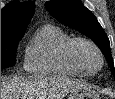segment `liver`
<instances>
[{"label": "liver", "mask_w": 115, "mask_h": 99, "mask_svg": "<svg viewBox=\"0 0 115 99\" xmlns=\"http://www.w3.org/2000/svg\"><path fill=\"white\" fill-rule=\"evenodd\" d=\"M83 86L63 77H13L1 81V99H61Z\"/></svg>", "instance_id": "liver-1"}]
</instances>
